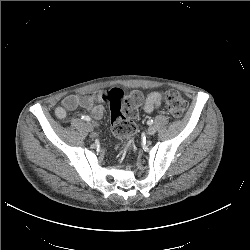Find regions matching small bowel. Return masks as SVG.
<instances>
[{"mask_svg":"<svg viewBox=\"0 0 250 250\" xmlns=\"http://www.w3.org/2000/svg\"><path fill=\"white\" fill-rule=\"evenodd\" d=\"M104 93H87V94H75L65 97L61 103L55 109V115L60 120L68 119V112L82 107L87 109L94 120H99L104 113L101 101ZM162 98L160 93L151 91L147 94L144 101V111L152 113L161 106Z\"/></svg>","mask_w":250,"mask_h":250,"instance_id":"c3829d8e","label":"small bowel"}]
</instances>
